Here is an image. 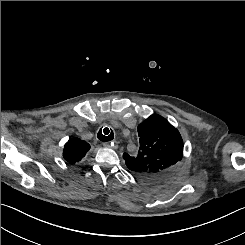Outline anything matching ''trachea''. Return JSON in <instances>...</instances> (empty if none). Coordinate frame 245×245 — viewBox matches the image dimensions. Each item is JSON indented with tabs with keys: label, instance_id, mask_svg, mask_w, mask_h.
<instances>
[{
	"label": "trachea",
	"instance_id": "3493384b",
	"mask_svg": "<svg viewBox=\"0 0 245 245\" xmlns=\"http://www.w3.org/2000/svg\"><path fill=\"white\" fill-rule=\"evenodd\" d=\"M97 137L100 141L107 142V141L113 140L114 134H113V131L111 129L105 127L103 129L99 130Z\"/></svg>",
	"mask_w": 245,
	"mask_h": 245
}]
</instances>
